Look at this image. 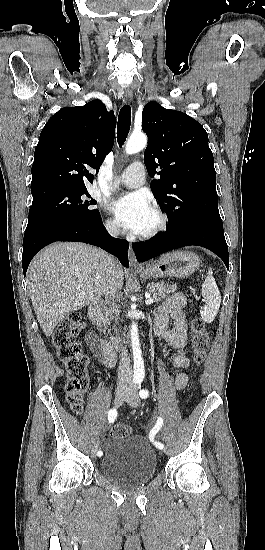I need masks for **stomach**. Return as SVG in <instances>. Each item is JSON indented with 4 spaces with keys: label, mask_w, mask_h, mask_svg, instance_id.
<instances>
[{
    "label": "stomach",
    "mask_w": 265,
    "mask_h": 550,
    "mask_svg": "<svg viewBox=\"0 0 265 550\" xmlns=\"http://www.w3.org/2000/svg\"><path fill=\"white\" fill-rule=\"evenodd\" d=\"M199 266L200 259L195 253L175 251L162 255L157 261L138 271L137 274L144 279L185 278L192 275Z\"/></svg>",
    "instance_id": "0dacf381"
}]
</instances>
